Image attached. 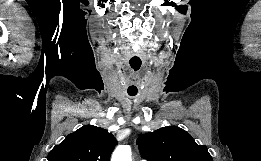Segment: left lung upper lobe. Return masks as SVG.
I'll use <instances>...</instances> for the list:
<instances>
[{"label":"left lung upper lobe","mask_w":261,"mask_h":161,"mask_svg":"<svg viewBox=\"0 0 261 161\" xmlns=\"http://www.w3.org/2000/svg\"><path fill=\"white\" fill-rule=\"evenodd\" d=\"M137 145L148 161H213L205 145H197L185 130L176 126L143 134Z\"/></svg>","instance_id":"5c2ea615"}]
</instances>
